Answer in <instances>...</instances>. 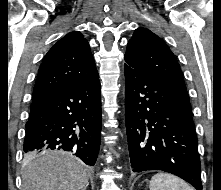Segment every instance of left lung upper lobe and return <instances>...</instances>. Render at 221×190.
Instances as JSON below:
<instances>
[{
	"label": "left lung upper lobe",
	"mask_w": 221,
	"mask_h": 190,
	"mask_svg": "<svg viewBox=\"0 0 221 190\" xmlns=\"http://www.w3.org/2000/svg\"><path fill=\"white\" fill-rule=\"evenodd\" d=\"M126 63L148 72L183 98L189 95L179 64L165 42L146 28H138L127 44Z\"/></svg>",
	"instance_id": "5c2ea615"
}]
</instances>
